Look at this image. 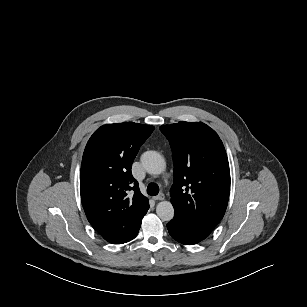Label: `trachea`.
Returning <instances> with one entry per match:
<instances>
[{"label":"trachea","mask_w":307,"mask_h":307,"mask_svg":"<svg viewBox=\"0 0 307 307\" xmlns=\"http://www.w3.org/2000/svg\"><path fill=\"white\" fill-rule=\"evenodd\" d=\"M147 192L149 195H152V196H155L159 193V187L157 184L155 183H150L148 186H147Z\"/></svg>","instance_id":"3493384b"}]
</instances>
